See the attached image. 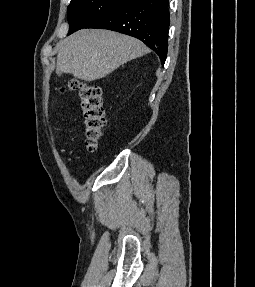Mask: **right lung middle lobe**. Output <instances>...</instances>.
Instances as JSON below:
<instances>
[{
  "instance_id": "obj_1",
  "label": "right lung middle lobe",
  "mask_w": 255,
  "mask_h": 287,
  "mask_svg": "<svg viewBox=\"0 0 255 287\" xmlns=\"http://www.w3.org/2000/svg\"><path fill=\"white\" fill-rule=\"evenodd\" d=\"M129 0H71L68 6V22L71 33L86 28L101 16Z\"/></svg>"
}]
</instances>
